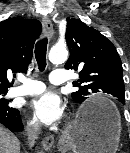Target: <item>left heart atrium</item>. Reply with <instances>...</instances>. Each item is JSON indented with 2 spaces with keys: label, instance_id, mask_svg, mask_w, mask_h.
Listing matches in <instances>:
<instances>
[{
  "label": "left heart atrium",
  "instance_id": "1",
  "mask_svg": "<svg viewBox=\"0 0 130 153\" xmlns=\"http://www.w3.org/2000/svg\"><path fill=\"white\" fill-rule=\"evenodd\" d=\"M30 107L35 117L47 125L57 122L64 112L62 101L53 92L38 96L31 102Z\"/></svg>",
  "mask_w": 130,
  "mask_h": 153
}]
</instances>
